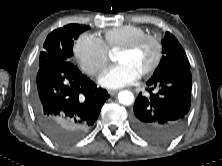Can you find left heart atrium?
<instances>
[{
  "instance_id": "obj_1",
  "label": "left heart atrium",
  "mask_w": 222,
  "mask_h": 166,
  "mask_svg": "<svg viewBox=\"0 0 222 166\" xmlns=\"http://www.w3.org/2000/svg\"><path fill=\"white\" fill-rule=\"evenodd\" d=\"M140 73L126 63H118L106 69L99 77L101 86L108 89L121 88L134 83Z\"/></svg>"
}]
</instances>
